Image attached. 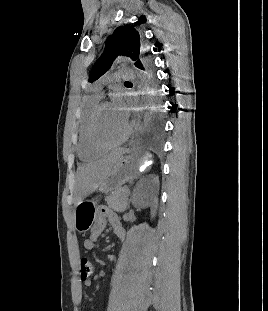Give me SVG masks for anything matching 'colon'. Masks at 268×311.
<instances>
[{
    "instance_id": "5ec220e1",
    "label": "colon",
    "mask_w": 268,
    "mask_h": 311,
    "mask_svg": "<svg viewBox=\"0 0 268 311\" xmlns=\"http://www.w3.org/2000/svg\"><path fill=\"white\" fill-rule=\"evenodd\" d=\"M94 271V264L93 262L88 258H82L80 262V273L81 278H90V276L93 274Z\"/></svg>"
}]
</instances>
